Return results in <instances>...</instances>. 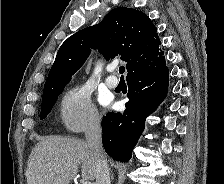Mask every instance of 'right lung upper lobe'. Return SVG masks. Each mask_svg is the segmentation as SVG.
I'll list each match as a JSON object with an SVG mask.
<instances>
[{
	"mask_svg": "<svg viewBox=\"0 0 224 184\" xmlns=\"http://www.w3.org/2000/svg\"><path fill=\"white\" fill-rule=\"evenodd\" d=\"M157 29L150 18L135 9H112L98 25L70 36L61 45L44 85L43 96L65 87L83 65L90 48L109 60L116 55L127 64V77L158 66L165 61Z\"/></svg>",
	"mask_w": 224,
	"mask_h": 184,
	"instance_id": "1",
	"label": "right lung upper lobe"
}]
</instances>
